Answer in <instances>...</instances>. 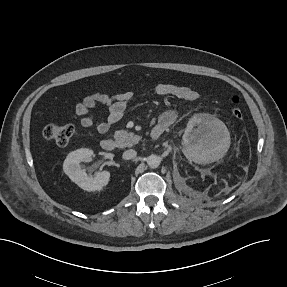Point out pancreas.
Here are the masks:
<instances>
[{
    "label": "pancreas",
    "mask_w": 287,
    "mask_h": 287,
    "mask_svg": "<svg viewBox=\"0 0 287 287\" xmlns=\"http://www.w3.org/2000/svg\"><path fill=\"white\" fill-rule=\"evenodd\" d=\"M114 138L120 148L131 147L141 139L140 136L125 130L115 131Z\"/></svg>",
    "instance_id": "obj_1"
}]
</instances>
